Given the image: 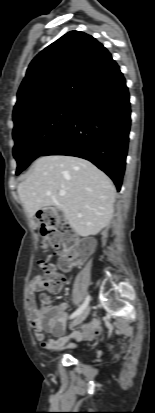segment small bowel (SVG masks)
Here are the masks:
<instances>
[{
    "label": "small bowel",
    "instance_id": "obj_1",
    "mask_svg": "<svg viewBox=\"0 0 155 413\" xmlns=\"http://www.w3.org/2000/svg\"><path fill=\"white\" fill-rule=\"evenodd\" d=\"M73 263L67 268H71ZM45 290L43 280L40 276H35L27 288V304L30 312L31 324L35 335L42 345L51 351H58L64 348H72L75 343L69 342L70 339L80 342L85 338H92L101 332L97 321H92L83 326L82 331H75L69 336H65L67 319V304L62 302L52 308L39 306L35 293ZM47 303V299H44ZM44 327L54 336L46 337Z\"/></svg>",
    "mask_w": 155,
    "mask_h": 413
}]
</instances>
